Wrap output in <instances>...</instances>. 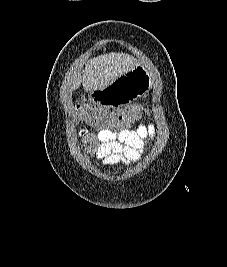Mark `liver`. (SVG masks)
Returning <instances> with one entry per match:
<instances>
[{"mask_svg":"<svg viewBox=\"0 0 227 267\" xmlns=\"http://www.w3.org/2000/svg\"><path fill=\"white\" fill-rule=\"evenodd\" d=\"M136 59L123 53L99 55L89 60L81 77L75 74L71 79V89L79 88L83 83L86 91H96V87H107V82H113V77H120L135 68Z\"/></svg>","mask_w":227,"mask_h":267,"instance_id":"1","label":"liver"}]
</instances>
